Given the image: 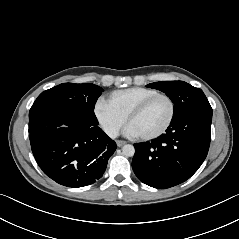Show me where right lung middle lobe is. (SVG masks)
Returning a JSON list of instances; mask_svg holds the SVG:
<instances>
[{"label":"right lung middle lobe","instance_id":"dd1d6c3e","mask_svg":"<svg viewBox=\"0 0 239 239\" xmlns=\"http://www.w3.org/2000/svg\"><path fill=\"white\" fill-rule=\"evenodd\" d=\"M103 89L84 83H63L42 92L29 112V133L50 123L98 124L94 106Z\"/></svg>","mask_w":239,"mask_h":239}]
</instances>
